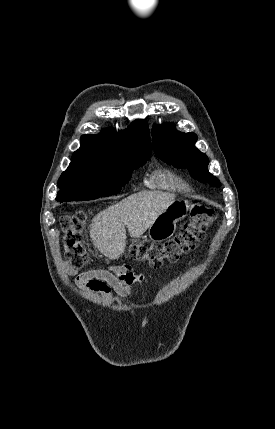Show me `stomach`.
I'll return each instance as SVG.
<instances>
[{"mask_svg":"<svg viewBox=\"0 0 275 429\" xmlns=\"http://www.w3.org/2000/svg\"><path fill=\"white\" fill-rule=\"evenodd\" d=\"M189 203L185 200L174 201L154 220L149 227V237L153 241H163L170 238L176 230V223L185 218Z\"/></svg>","mask_w":275,"mask_h":429,"instance_id":"1","label":"stomach"}]
</instances>
